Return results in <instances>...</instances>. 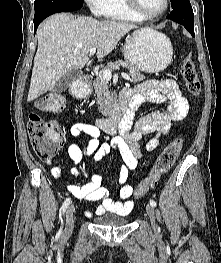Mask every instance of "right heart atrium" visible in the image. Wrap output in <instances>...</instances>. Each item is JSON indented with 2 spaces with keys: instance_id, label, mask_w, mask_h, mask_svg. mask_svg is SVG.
Wrapping results in <instances>:
<instances>
[{
  "instance_id": "1",
  "label": "right heart atrium",
  "mask_w": 221,
  "mask_h": 263,
  "mask_svg": "<svg viewBox=\"0 0 221 263\" xmlns=\"http://www.w3.org/2000/svg\"><path fill=\"white\" fill-rule=\"evenodd\" d=\"M90 11L96 15H104L108 0H84Z\"/></svg>"
}]
</instances>
